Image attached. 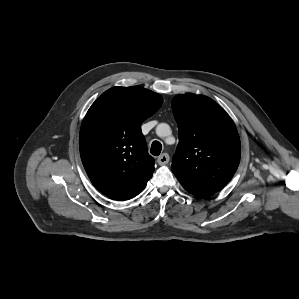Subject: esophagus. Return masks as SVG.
<instances>
[{"mask_svg":"<svg viewBox=\"0 0 299 299\" xmlns=\"http://www.w3.org/2000/svg\"><path fill=\"white\" fill-rule=\"evenodd\" d=\"M157 162L159 165H165L169 162V155L167 153H163L161 154L158 159Z\"/></svg>","mask_w":299,"mask_h":299,"instance_id":"obj_1","label":"esophagus"}]
</instances>
